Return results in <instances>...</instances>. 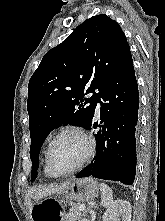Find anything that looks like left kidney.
I'll list each match as a JSON object with an SVG mask.
<instances>
[{
	"label": "left kidney",
	"mask_w": 165,
	"mask_h": 221,
	"mask_svg": "<svg viewBox=\"0 0 165 221\" xmlns=\"http://www.w3.org/2000/svg\"><path fill=\"white\" fill-rule=\"evenodd\" d=\"M131 205L126 200H116L103 215V221H131Z\"/></svg>",
	"instance_id": "obj_1"
}]
</instances>
